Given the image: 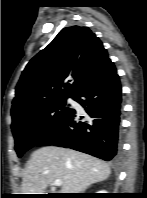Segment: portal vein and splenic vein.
I'll return each instance as SVG.
<instances>
[{"instance_id": "obj_1", "label": "portal vein and splenic vein", "mask_w": 147, "mask_h": 198, "mask_svg": "<svg viewBox=\"0 0 147 198\" xmlns=\"http://www.w3.org/2000/svg\"><path fill=\"white\" fill-rule=\"evenodd\" d=\"M53 184H54L55 186H61V185L63 184V181L60 180V179H57V180L54 181Z\"/></svg>"}]
</instances>
